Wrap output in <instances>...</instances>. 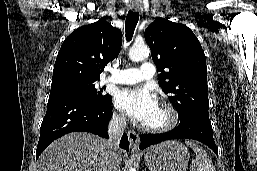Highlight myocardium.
Returning a JSON list of instances; mask_svg holds the SVG:
<instances>
[{
	"instance_id": "obj_1",
	"label": "myocardium",
	"mask_w": 257,
	"mask_h": 171,
	"mask_svg": "<svg viewBox=\"0 0 257 171\" xmlns=\"http://www.w3.org/2000/svg\"><path fill=\"white\" fill-rule=\"evenodd\" d=\"M161 108L168 114V120L166 123L157 126L146 125L142 123L141 127L143 130L151 133H165L174 129L179 122V114L175 107L168 101L161 100L158 103Z\"/></svg>"
}]
</instances>
